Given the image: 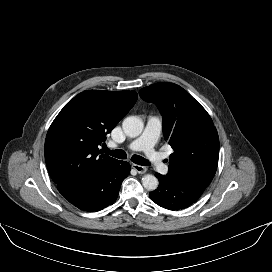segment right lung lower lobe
<instances>
[{"instance_id": "obj_1", "label": "right lung lower lobe", "mask_w": 272, "mask_h": 272, "mask_svg": "<svg viewBox=\"0 0 272 272\" xmlns=\"http://www.w3.org/2000/svg\"><path fill=\"white\" fill-rule=\"evenodd\" d=\"M128 162L114 160L94 176L57 185L59 192L83 211H99L117 199L123 180L129 175Z\"/></svg>"}]
</instances>
